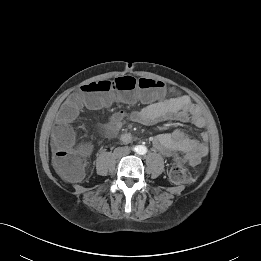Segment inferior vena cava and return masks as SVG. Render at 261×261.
Returning <instances> with one entry per match:
<instances>
[{
    "instance_id": "obj_1",
    "label": "inferior vena cava",
    "mask_w": 261,
    "mask_h": 261,
    "mask_svg": "<svg viewBox=\"0 0 261 261\" xmlns=\"http://www.w3.org/2000/svg\"><path fill=\"white\" fill-rule=\"evenodd\" d=\"M116 151H117V154L119 156H126V155H128L130 153V148H128V147H120Z\"/></svg>"
}]
</instances>
